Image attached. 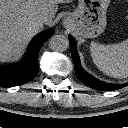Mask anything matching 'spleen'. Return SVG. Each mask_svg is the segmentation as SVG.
<instances>
[{"label": "spleen", "instance_id": "spleen-1", "mask_svg": "<svg viewBox=\"0 0 128 128\" xmlns=\"http://www.w3.org/2000/svg\"><path fill=\"white\" fill-rule=\"evenodd\" d=\"M91 56L99 70L114 78L128 77V39L111 45L91 42Z\"/></svg>", "mask_w": 128, "mask_h": 128}]
</instances>
